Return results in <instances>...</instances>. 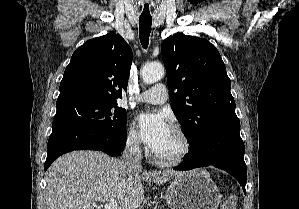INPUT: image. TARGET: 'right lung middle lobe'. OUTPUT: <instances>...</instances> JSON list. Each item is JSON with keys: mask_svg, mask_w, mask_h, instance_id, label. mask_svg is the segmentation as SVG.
<instances>
[{"mask_svg": "<svg viewBox=\"0 0 299 209\" xmlns=\"http://www.w3.org/2000/svg\"><path fill=\"white\" fill-rule=\"evenodd\" d=\"M54 120L68 119L110 133L125 130L127 114L114 102L74 101L57 104Z\"/></svg>", "mask_w": 299, "mask_h": 209, "instance_id": "obj_1", "label": "right lung middle lobe"}]
</instances>
